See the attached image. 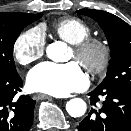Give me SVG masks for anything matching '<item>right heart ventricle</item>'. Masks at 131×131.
<instances>
[{
	"mask_svg": "<svg viewBox=\"0 0 131 131\" xmlns=\"http://www.w3.org/2000/svg\"><path fill=\"white\" fill-rule=\"evenodd\" d=\"M55 34L69 44L75 45L91 35L90 26L83 20L67 17L53 24Z\"/></svg>",
	"mask_w": 131,
	"mask_h": 131,
	"instance_id": "right-heart-ventricle-1",
	"label": "right heart ventricle"
}]
</instances>
